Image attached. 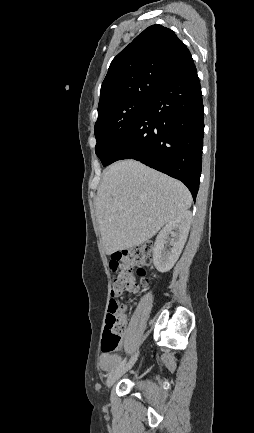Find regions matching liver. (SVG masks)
<instances>
[{"label":"liver","mask_w":254,"mask_h":433,"mask_svg":"<svg viewBox=\"0 0 254 433\" xmlns=\"http://www.w3.org/2000/svg\"><path fill=\"white\" fill-rule=\"evenodd\" d=\"M192 203L180 181L128 159L110 165L97 190L96 213L107 255L138 246Z\"/></svg>","instance_id":"liver-1"}]
</instances>
